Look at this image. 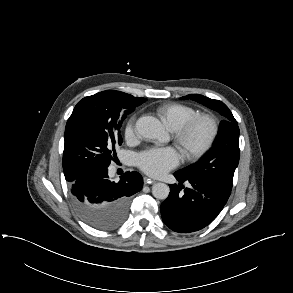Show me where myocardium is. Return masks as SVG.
Masks as SVG:
<instances>
[{
    "instance_id": "myocardium-1",
    "label": "myocardium",
    "mask_w": 293,
    "mask_h": 293,
    "mask_svg": "<svg viewBox=\"0 0 293 293\" xmlns=\"http://www.w3.org/2000/svg\"><path fill=\"white\" fill-rule=\"evenodd\" d=\"M207 127V134L203 142L198 146L189 143V136L199 125ZM219 133V125L216 118L210 114H198L177 129L173 130V139L181 149L187 160L194 161L203 157L214 145Z\"/></svg>"
}]
</instances>
